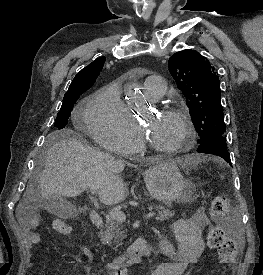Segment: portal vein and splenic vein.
I'll list each match as a JSON object with an SVG mask.
<instances>
[{
  "instance_id": "1",
  "label": "portal vein and splenic vein",
  "mask_w": 263,
  "mask_h": 275,
  "mask_svg": "<svg viewBox=\"0 0 263 275\" xmlns=\"http://www.w3.org/2000/svg\"><path fill=\"white\" fill-rule=\"evenodd\" d=\"M90 193L93 196L96 192L94 191V189H90ZM93 199V197H91ZM109 214L117 221L119 222H124L126 220V215L124 214V212H122L121 210H110ZM155 216V212L150 211L147 215L146 218H151Z\"/></svg>"
}]
</instances>
